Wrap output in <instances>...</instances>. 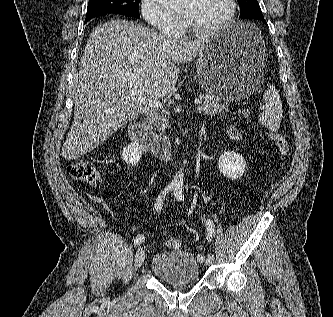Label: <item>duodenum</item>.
Segmentation results:
<instances>
[{
    "instance_id": "duodenum-1",
    "label": "duodenum",
    "mask_w": 333,
    "mask_h": 317,
    "mask_svg": "<svg viewBox=\"0 0 333 317\" xmlns=\"http://www.w3.org/2000/svg\"><path fill=\"white\" fill-rule=\"evenodd\" d=\"M129 135L131 139L143 150L150 152L164 161L173 158L175 148L173 142L167 138L148 130L142 123L133 122L129 126ZM190 130L185 129L182 136L186 139Z\"/></svg>"
}]
</instances>
